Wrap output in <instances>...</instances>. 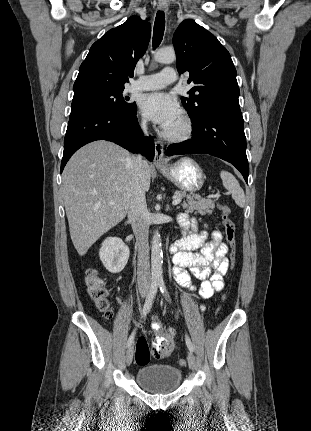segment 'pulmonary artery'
I'll list each match as a JSON object with an SVG mask.
<instances>
[{"label": "pulmonary artery", "instance_id": "1", "mask_svg": "<svg viewBox=\"0 0 311 431\" xmlns=\"http://www.w3.org/2000/svg\"><path fill=\"white\" fill-rule=\"evenodd\" d=\"M177 81L175 71L166 67L158 73L145 75L136 80L132 85L133 91H150L164 88Z\"/></svg>", "mask_w": 311, "mask_h": 431}]
</instances>
